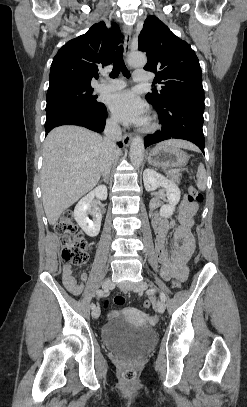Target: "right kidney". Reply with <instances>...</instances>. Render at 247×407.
<instances>
[{
  "instance_id": "1",
  "label": "right kidney",
  "mask_w": 247,
  "mask_h": 407,
  "mask_svg": "<svg viewBox=\"0 0 247 407\" xmlns=\"http://www.w3.org/2000/svg\"><path fill=\"white\" fill-rule=\"evenodd\" d=\"M95 197L100 200H106L107 188L105 186L96 187L84 196L74 209V219L82 230L90 237H95L99 234L102 220V214L92 210V203ZM89 214L94 217L93 220L88 218Z\"/></svg>"
}]
</instances>
